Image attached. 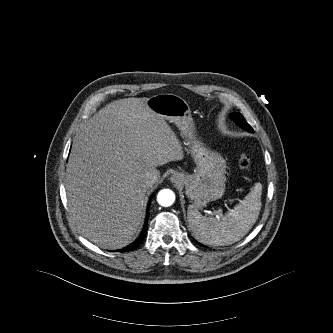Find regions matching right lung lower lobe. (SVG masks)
Returning <instances> with one entry per match:
<instances>
[{
	"mask_svg": "<svg viewBox=\"0 0 333 333\" xmlns=\"http://www.w3.org/2000/svg\"><path fill=\"white\" fill-rule=\"evenodd\" d=\"M149 206H150V203L148 205V209H149ZM148 217H149V213H147V218H146V221H145V225H144V228H143V231H142L140 237L136 241L131 243L129 246L125 247L124 249L119 250L120 252L131 251V250L135 249L136 247H138L140 245V243L142 242V240L144 239L145 234H146Z\"/></svg>",
	"mask_w": 333,
	"mask_h": 333,
	"instance_id": "1",
	"label": "right lung lower lobe"
}]
</instances>
